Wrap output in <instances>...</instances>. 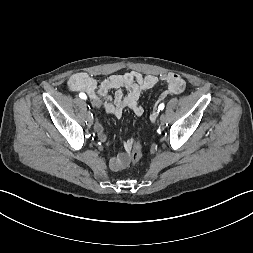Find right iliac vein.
Masks as SVG:
<instances>
[{
  "mask_svg": "<svg viewBox=\"0 0 253 253\" xmlns=\"http://www.w3.org/2000/svg\"><path fill=\"white\" fill-rule=\"evenodd\" d=\"M87 122L89 125L93 124V118H92L90 112H88V114H87Z\"/></svg>",
  "mask_w": 253,
  "mask_h": 253,
  "instance_id": "63e3f726",
  "label": "right iliac vein"
}]
</instances>
